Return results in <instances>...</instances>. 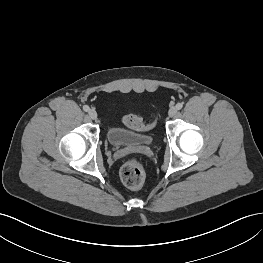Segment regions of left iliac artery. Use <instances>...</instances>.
Listing matches in <instances>:
<instances>
[{"mask_svg": "<svg viewBox=\"0 0 263 263\" xmlns=\"http://www.w3.org/2000/svg\"><path fill=\"white\" fill-rule=\"evenodd\" d=\"M182 107H183V103H177L176 108L178 110L182 109Z\"/></svg>", "mask_w": 263, "mask_h": 263, "instance_id": "obj_1", "label": "left iliac artery"}]
</instances>
